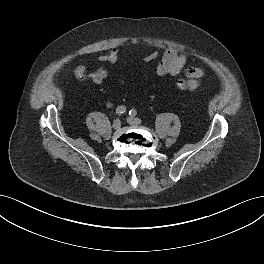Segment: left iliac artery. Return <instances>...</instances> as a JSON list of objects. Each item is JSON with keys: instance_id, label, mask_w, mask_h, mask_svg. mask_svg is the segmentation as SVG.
<instances>
[{"instance_id": "left-iliac-artery-1", "label": "left iliac artery", "mask_w": 264, "mask_h": 264, "mask_svg": "<svg viewBox=\"0 0 264 264\" xmlns=\"http://www.w3.org/2000/svg\"><path fill=\"white\" fill-rule=\"evenodd\" d=\"M137 114V111L135 110V109H131L130 111H129V115L130 116H135Z\"/></svg>"}]
</instances>
